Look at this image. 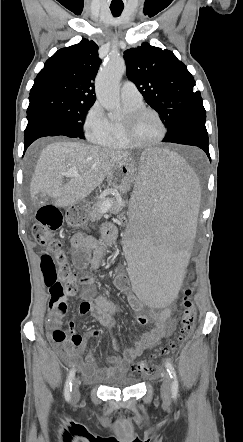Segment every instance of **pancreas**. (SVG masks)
I'll return each instance as SVG.
<instances>
[{"label": "pancreas", "mask_w": 243, "mask_h": 442, "mask_svg": "<svg viewBox=\"0 0 243 442\" xmlns=\"http://www.w3.org/2000/svg\"><path fill=\"white\" fill-rule=\"evenodd\" d=\"M108 191H110V190H108ZM105 202H109L111 204L108 211L111 213H114V214L119 213L125 207V203H123L120 199L109 198V197L104 198V199H99L90 208V211L88 214L89 218L92 221L100 220L101 217L104 215V212L101 211V207Z\"/></svg>", "instance_id": "cf45deb5"}]
</instances>
